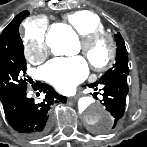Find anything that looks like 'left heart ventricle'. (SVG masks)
<instances>
[{"instance_id": "left-heart-ventricle-1", "label": "left heart ventricle", "mask_w": 147, "mask_h": 147, "mask_svg": "<svg viewBox=\"0 0 147 147\" xmlns=\"http://www.w3.org/2000/svg\"><path fill=\"white\" fill-rule=\"evenodd\" d=\"M105 45L104 43H100L94 51V57L98 60L102 59L105 56Z\"/></svg>"}]
</instances>
